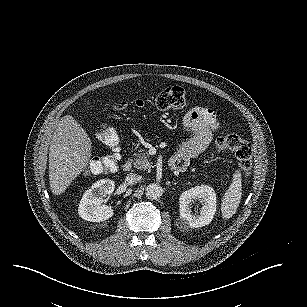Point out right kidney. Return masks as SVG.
<instances>
[{"label": "right kidney", "mask_w": 307, "mask_h": 307, "mask_svg": "<svg viewBox=\"0 0 307 307\" xmlns=\"http://www.w3.org/2000/svg\"><path fill=\"white\" fill-rule=\"evenodd\" d=\"M115 182L111 179H101L92 184L87 189L78 207L79 216L90 222H103L111 218L114 214L109 206L102 205L103 197L113 193Z\"/></svg>", "instance_id": "right-kidney-1"}]
</instances>
